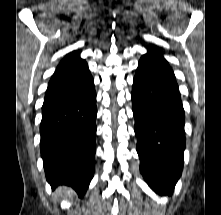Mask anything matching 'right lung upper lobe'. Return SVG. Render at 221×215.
<instances>
[{"mask_svg": "<svg viewBox=\"0 0 221 215\" xmlns=\"http://www.w3.org/2000/svg\"><path fill=\"white\" fill-rule=\"evenodd\" d=\"M86 71H88L86 61L80 58L79 53L73 51L59 63L48 84V89L70 81Z\"/></svg>", "mask_w": 221, "mask_h": 215, "instance_id": "obj_1", "label": "right lung upper lobe"}]
</instances>
